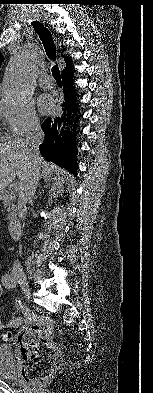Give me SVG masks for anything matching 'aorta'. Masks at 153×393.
Instances as JSON below:
<instances>
[{
    "mask_svg": "<svg viewBox=\"0 0 153 393\" xmlns=\"http://www.w3.org/2000/svg\"><path fill=\"white\" fill-rule=\"evenodd\" d=\"M36 59L37 51L31 44H24L11 57L4 78V91L12 103L24 104L33 95Z\"/></svg>",
    "mask_w": 153,
    "mask_h": 393,
    "instance_id": "obj_1",
    "label": "aorta"
}]
</instances>
